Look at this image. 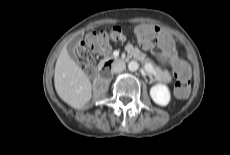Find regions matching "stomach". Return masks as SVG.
<instances>
[{
	"label": "stomach",
	"mask_w": 230,
	"mask_h": 155,
	"mask_svg": "<svg viewBox=\"0 0 230 155\" xmlns=\"http://www.w3.org/2000/svg\"><path fill=\"white\" fill-rule=\"evenodd\" d=\"M158 58L164 63L165 62V60H164V58L162 57V56H158Z\"/></svg>",
	"instance_id": "stomach-1"
}]
</instances>
